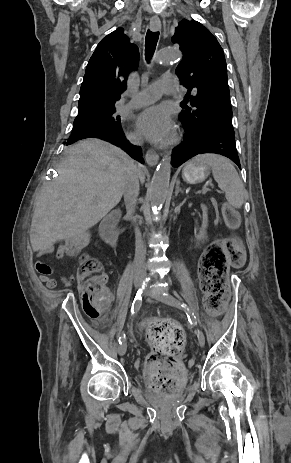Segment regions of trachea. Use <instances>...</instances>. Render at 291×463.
I'll list each match as a JSON object with an SVG mask.
<instances>
[{"mask_svg":"<svg viewBox=\"0 0 291 463\" xmlns=\"http://www.w3.org/2000/svg\"><path fill=\"white\" fill-rule=\"evenodd\" d=\"M159 39V32L147 31L145 37V58L149 62L155 52L156 45Z\"/></svg>","mask_w":291,"mask_h":463,"instance_id":"1","label":"trachea"}]
</instances>
